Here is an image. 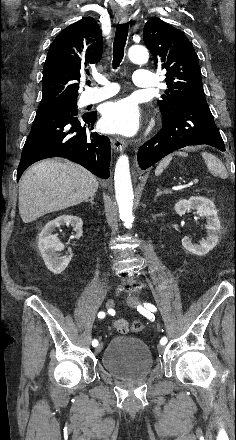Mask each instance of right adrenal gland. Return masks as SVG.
Here are the masks:
<instances>
[{
  "label": "right adrenal gland",
  "mask_w": 236,
  "mask_h": 440,
  "mask_svg": "<svg viewBox=\"0 0 236 440\" xmlns=\"http://www.w3.org/2000/svg\"><path fill=\"white\" fill-rule=\"evenodd\" d=\"M93 200H94V195L93 196H91V198L90 199H88V200H85V202H90L92 205L94 204V202H93Z\"/></svg>",
  "instance_id": "obj_1"
}]
</instances>
